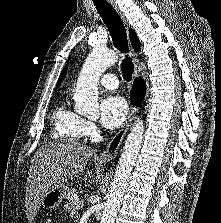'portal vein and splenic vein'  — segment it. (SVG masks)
<instances>
[{
  "label": "portal vein and splenic vein",
  "instance_id": "obj_1",
  "mask_svg": "<svg viewBox=\"0 0 221 223\" xmlns=\"http://www.w3.org/2000/svg\"><path fill=\"white\" fill-rule=\"evenodd\" d=\"M78 203H79V205H81V206L83 205V201H82V200H79Z\"/></svg>",
  "mask_w": 221,
  "mask_h": 223
}]
</instances>
